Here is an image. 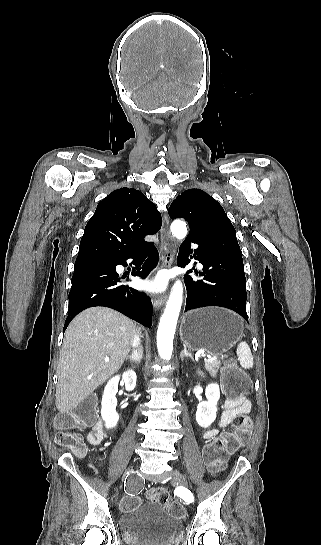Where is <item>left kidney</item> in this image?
<instances>
[{"instance_id": "5707ae66", "label": "left kidney", "mask_w": 321, "mask_h": 545, "mask_svg": "<svg viewBox=\"0 0 321 545\" xmlns=\"http://www.w3.org/2000/svg\"><path fill=\"white\" fill-rule=\"evenodd\" d=\"M207 401L199 403L196 411V421L200 427H210L217 415V403L220 399L219 385H207L205 391Z\"/></svg>"}]
</instances>
